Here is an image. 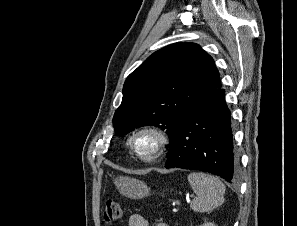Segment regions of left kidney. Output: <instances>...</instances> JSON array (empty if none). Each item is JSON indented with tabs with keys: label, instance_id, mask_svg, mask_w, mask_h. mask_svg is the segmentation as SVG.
Segmentation results:
<instances>
[{
	"label": "left kidney",
	"instance_id": "left-kidney-1",
	"mask_svg": "<svg viewBox=\"0 0 297 226\" xmlns=\"http://www.w3.org/2000/svg\"><path fill=\"white\" fill-rule=\"evenodd\" d=\"M200 226H216V225L213 224V223H204V224H202V225H200Z\"/></svg>",
	"mask_w": 297,
	"mask_h": 226
}]
</instances>
